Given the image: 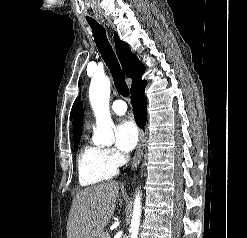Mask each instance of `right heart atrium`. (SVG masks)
Instances as JSON below:
<instances>
[{
    "instance_id": "right-heart-atrium-1",
    "label": "right heart atrium",
    "mask_w": 247,
    "mask_h": 238,
    "mask_svg": "<svg viewBox=\"0 0 247 238\" xmlns=\"http://www.w3.org/2000/svg\"><path fill=\"white\" fill-rule=\"evenodd\" d=\"M105 153L110 163L114 166L118 167L122 164L123 157L115 149H105Z\"/></svg>"
}]
</instances>
